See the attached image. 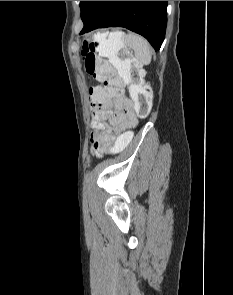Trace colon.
Instances as JSON below:
<instances>
[{
    "label": "colon",
    "instance_id": "obj_1",
    "mask_svg": "<svg viewBox=\"0 0 233 295\" xmlns=\"http://www.w3.org/2000/svg\"><path fill=\"white\" fill-rule=\"evenodd\" d=\"M82 55L86 72L101 83L90 89L91 96H117L128 84L137 116H148L152 106L151 87L144 79L140 62L128 50L123 33L100 32L87 37L83 41ZM131 140L129 132L119 134L109 151H122Z\"/></svg>",
    "mask_w": 233,
    "mask_h": 295
}]
</instances>
